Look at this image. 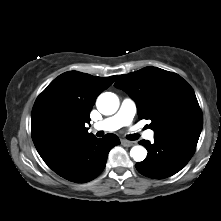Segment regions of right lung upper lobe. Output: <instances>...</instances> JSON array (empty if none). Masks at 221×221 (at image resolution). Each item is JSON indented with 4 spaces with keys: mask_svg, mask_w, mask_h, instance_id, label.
Segmentation results:
<instances>
[{
    "mask_svg": "<svg viewBox=\"0 0 221 221\" xmlns=\"http://www.w3.org/2000/svg\"><path fill=\"white\" fill-rule=\"evenodd\" d=\"M115 78L68 71L54 79L32 109V139L38 153L94 136L85 124L91 120L89 113L97 96Z\"/></svg>",
    "mask_w": 221,
    "mask_h": 221,
    "instance_id": "cb5924a9",
    "label": "right lung upper lobe"
}]
</instances>
